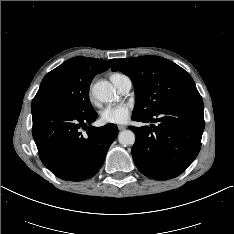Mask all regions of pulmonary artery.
<instances>
[{
	"label": "pulmonary artery",
	"mask_w": 234,
	"mask_h": 234,
	"mask_svg": "<svg viewBox=\"0 0 234 234\" xmlns=\"http://www.w3.org/2000/svg\"><path fill=\"white\" fill-rule=\"evenodd\" d=\"M131 86H132L131 80L127 76H125L116 85V88L119 90L121 94H127L130 91Z\"/></svg>",
	"instance_id": "pulmonary-artery-1"
}]
</instances>
